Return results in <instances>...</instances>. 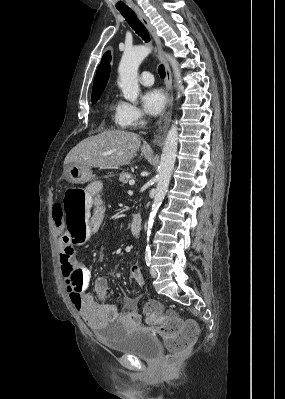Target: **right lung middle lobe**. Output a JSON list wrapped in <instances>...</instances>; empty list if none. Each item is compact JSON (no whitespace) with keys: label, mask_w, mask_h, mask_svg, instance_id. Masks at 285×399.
Instances as JSON below:
<instances>
[{"label":"right lung middle lobe","mask_w":285,"mask_h":399,"mask_svg":"<svg viewBox=\"0 0 285 399\" xmlns=\"http://www.w3.org/2000/svg\"><path fill=\"white\" fill-rule=\"evenodd\" d=\"M100 96H101V94H97V95L92 96V102L96 103L97 100L100 98Z\"/></svg>","instance_id":"right-lung-middle-lobe-1"}]
</instances>
